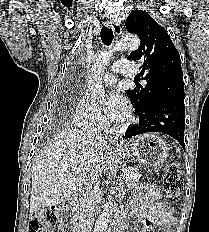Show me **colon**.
I'll return each instance as SVG.
<instances>
[{"label":"colon","instance_id":"colon-1","mask_svg":"<svg viewBox=\"0 0 209 232\" xmlns=\"http://www.w3.org/2000/svg\"><path fill=\"white\" fill-rule=\"evenodd\" d=\"M182 188V176L178 163L172 162L167 166L163 177V189L167 199L175 200L179 197ZM56 207H46L34 212L29 221V232H50V228L58 222Z\"/></svg>","mask_w":209,"mask_h":232}]
</instances>
